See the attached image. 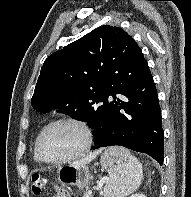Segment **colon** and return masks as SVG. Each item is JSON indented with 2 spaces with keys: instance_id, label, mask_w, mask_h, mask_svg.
Wrapping results in <instances>:
<instances>
[{
  "instance_id": "obj_1",
  "label": "colon",
  "mask_w": 191,
  "mask_h": 197,
  "mask_svg": "<svg viewBox=\"0 0 191 197\" xmlns=\"http://www.w3.org/2000/svg\"><path fill=\"white\" fill-rule=\"evenodd\" d=\"M47 186H48V179L45 176L39 173L33 174L32 191L35 195L41 194L46 189Z\"/></svg>"
}]
</instances>
